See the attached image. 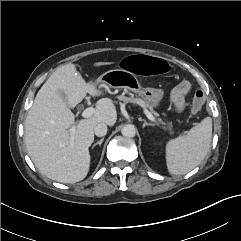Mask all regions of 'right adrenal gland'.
<instances>
[{"instance_id":"2a0ac1e0","label":"right adrenal gland","mask_w":241,"mask_h":241,"mask_svg":"<svg viewBox=\"0 0 241 241\" xmlns=\"http://www.w3.org/2000/svg\"><path fill=\"white\" fill-rule=\"evenodd\" d=\"M103 141H104V138H101L98 142L93 144L92 148H94L97 145H99V147H101V144H102Z\"/></svg>"}]
</instances>
